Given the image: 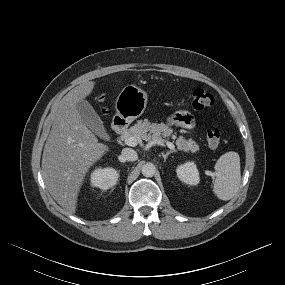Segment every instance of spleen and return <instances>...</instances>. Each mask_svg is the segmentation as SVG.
<instances>
[{
	"label": "spleen",
	"mask_w": 285,
	"mask_h": 285,
	"mask_svg": "<svg viewBox=\"0 0 285 285\" xmlns=\"http://www.w3.org/2000/svg\"><path fill=\"white\" fill-rule=\"evenodd\" d=\"M213 192L221 200L232 199L241 182L240 157L236 152H227L220 156L215 166Z\"/></svg>",
	"instance_id": "3e777b00"
}]
</instances>
